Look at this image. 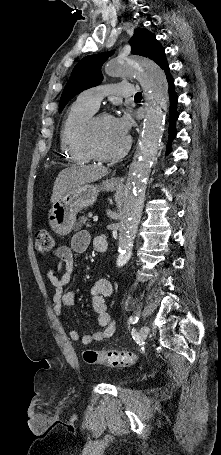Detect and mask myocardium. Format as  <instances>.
Returning <instances> with one entry per match:
<instances>
[{
	"label": "myocardium",
	"mask_w": 221,
	"mask_h": 455,
	"mask_svg": "<svg viewBox=\"0 0 221 455\" xmlns=\"http://www.w3.org/2000/svg\"><path fill=\"white\" fill-rule=\"evenodd\" d=\"M102 117H113L111 114L107 112H101L97 114H93L87 123L85 124L84 131H83V143L84 147L89 154V156L96 160L102 162L114 161L121 157H123L131 147V138L126 137V141L124 145L114 153L111 154H102L100 153L94 143V136H95V129L98 120Z\"/></svg>",
	"instance_id": "f54148a6"
}]
</instances>
